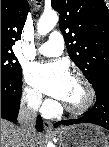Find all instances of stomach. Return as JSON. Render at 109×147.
<instances>
[{"mask_svg": "<svg viewBox=\"0 0 109 147\" xmlns=\"http://www.w3.org/2000/svg\"><path fill=\"white\" fill-rule=\"evenodd\" d=\"M57 133L62 147H109L108 134L96 125H72Z\"/></svg>", "mask_w": 109, "mask_h": 147, "instance_id": "stomach-1", "label": "stomach"}]
</instances>
